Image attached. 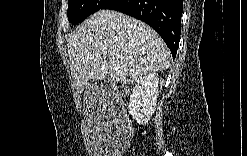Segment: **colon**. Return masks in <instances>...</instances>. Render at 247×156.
Segmentation results:
<instances>
[{"mask_svg":"<svg viewBox=\"0 0 247 156\" xmlns=\"http://www.w3.org/2000/svg\"><path fill=\"white\" fill-rule=\"evenodd\" d=\"M114 91L117 96H121V97H125L128 94V90L124 86H116L114 88Z\"/></svg>","mask_w":247,"mask_h":156,"instance_id":"obj_1","label":"colon"}]
</instances>
